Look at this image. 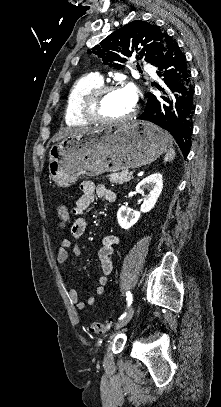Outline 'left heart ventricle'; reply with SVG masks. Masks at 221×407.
Returning <instances> with one entry per match:
<instances>
[{
    "label": "left heart ventricle",
    "instance_id": "b2bd125f",
    "mask_svg": "<svg viewBox=\"0 0 221 407\" xmlns=\"http://www.w3.org/2000/svg\"><path fill=\"white\" fill-rule=\"evenodd\" d=\"M134 108L122 89L108 93L102 102V113L109 118H120L130 113Z\"/></svg>",
    "mask_w": 221,
    "mask_h": 407
}]
</instances>
